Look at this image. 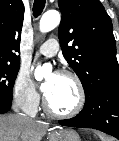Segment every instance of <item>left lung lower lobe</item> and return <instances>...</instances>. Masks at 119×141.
Here are the masks:
<instances>
[{
	"instance_id": "0a47b994",
	"label": "left lung lower lobe",
	"mask_w": 119,
	"mask_h": 141,
	"mask_svg": "<svg viewBox=\"0 0 119 141\" xmlns=\"http://www.w3.org/2000/svg\"><path fill=\"white\" fill-rule=\"evenodd\" d=\"M60 125L100 130L119 140V85H109L86 97L83 110Z\"/></svg>"
}]
</instances>
